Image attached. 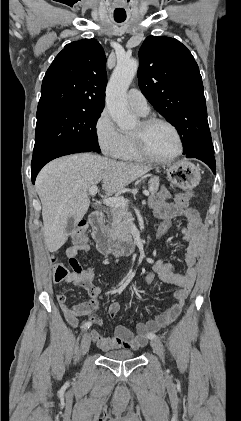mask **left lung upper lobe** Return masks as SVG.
Listing matches in <instances>:
<instances>
[{
    "instance_id": "1",
    "label": "left lung upper lobe",
    "mask_w": 241,
    "mask_h": 421,
    "mask_svg": "<svg viewBox=\"0 0 241 421\" xmlns=\"http://www.w3.org/2000/svg\"><path fill=\"white\" fill-rule=\"evenodd\" d=\"M139 86L156 110L176 127L183 154L214 153L198 65L178 40L147 37L139 50Z\"/></svg>"
}]
</instances>
